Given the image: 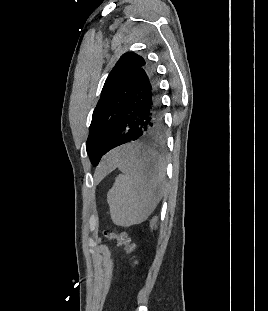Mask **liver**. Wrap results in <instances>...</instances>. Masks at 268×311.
<instances>
[{
  "mask_svg": "<svg viewBox=\"0 0 268 311\" xmlns=\"http://www.w3.org/2000/svg\"><path fill=\"white\" fill-rule=\"evenodd\" d=\"M113 154H114V152L110 153V154L107 156V158H106V162H109V161H111V160H112V158H113Z\"/></svg>",
  "mask_w": 268,
  "mask_h": 311,
  "instance_id": "1",
  "label": "liver"
}]
</instances>
